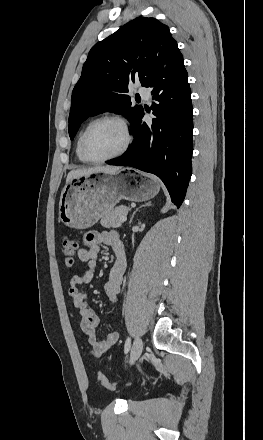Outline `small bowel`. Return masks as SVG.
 Here are the masks:
<instances>
[{
    "label": "small bowel",
    "mask_w": 263,
    "mask_h": 440,
    "mask_svg": "<svg viewBox=\"0 0 263 440\" xmlns=\"http://www.w3.org/2000/svg\"><path fill=\"white\" fill-rule=\"evenodd\" d=\"M84 247L77 250V257L86 263V270L80 275H74L69 283V297L80 316V327L94 356H100L110 350L119 339L117 332H111L105 339L96 336V327L99 318L88 303L87 293L83 287L93 280L97 268V258L100 245L111 246L116 254V259L111 267L109 278L105 284V293L111 304H118L120 300V287L127 267L124 245L116 231L88 232L84 236Z\"/></svg>",
    "instance_id": "1"
}]
</instances>
